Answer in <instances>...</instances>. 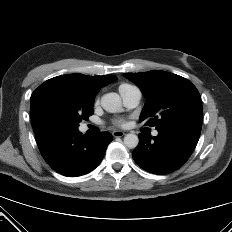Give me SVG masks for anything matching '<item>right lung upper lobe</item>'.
Segmentation results:
<instances>
[{
  "mask_svg": "<svg viewBox=\"0 0 232 232\" xmlns=\"http://www.w3.org/2000/svg\"><path fill=\"white\" fill-rule=\"evenodd\" d=\"M116 79L117 77L114 75L87 76L83 74H68L49 79L42 85L51 83L74 84L81 87L90 98L94 99L101 87L115 81Z\"/></svg>",
  "mask_w": 232,
  "mask_h": 232,
  "instance_id": "1",
  "label": "right lung upper lobe"
}]
</instances>
